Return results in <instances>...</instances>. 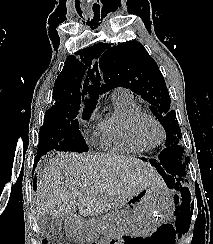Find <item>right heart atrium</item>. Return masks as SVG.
<instances>
[{
    "label": "right heart atrium",
    "instance_id": "d8ad5b80",
    "mask_svg": "<svg viewBox=\"0 0 213 244\" xmlns=\"http://www.w3.org/2000/svg\"><path fill=\"white\" fill-rule=\"evenodd\" d=\"M95 117H96V112H95V110H92V111L89 113V121L94 120Z\"/></svg>",
    "mask_w": 213,
    "mask_h": 244
}]
</instances>
